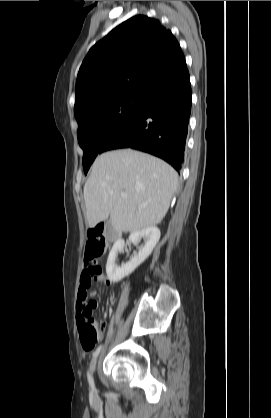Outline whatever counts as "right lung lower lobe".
I'll use <instances>...</instances> for the list:
<instances>
[{
	"label": "right lung lower lobe",
	"instance_id": "right-lung-lower-lobe-1",
	"mask_svg": "<svg viewBox=\"0 0 271 418\" xmlns=\"http://www.w3.org/2000/svg\"><path fill=\"white\" fill-rule=\"evenodd\" d=\"M191 85L187 67L104 141L99 153L133 148L158 156L180 170L191 113Z\"/></svg>",
	"mask_w": 271,
	"mask_h": 418
}]
</instances>
